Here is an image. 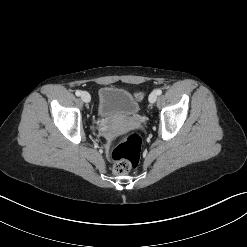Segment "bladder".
I'll return each instance as SVG.
<instances>
[{"label":"bladder","mask_w":247,"mask_h":247,"mask_svg":"<svg viewBox=\"0 0 247 247\" xmlns=\"http://www.w3.org/2000/svg\"><path fill=\"white\" fill-rule=\"evenodd\" d=\"M139 102L128 90L103 86L98 92L97 113L102 118L131 117L139 112Z\"/></svg>","instance_id":"31cf9c89"}]
</instances>
